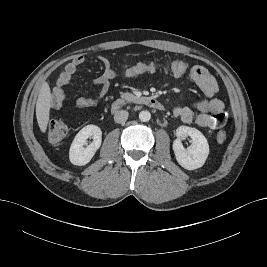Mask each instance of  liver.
<instances>
[{
	"label": "liver",
	"instance_id": "1",
	"mask_svg": "<svg viewBox=\"0 0 267 267\" xmlns=\"http://www.w3.org/2000/svg\"><path fill=\"white\" fill-rule=\"evenodd\" d=\"M52 95L49 84L44 82L41 86L37 103L36 117L40 130L45 133L49 122Z\"/></svg>",
	"mask_w": 267,
	"mask_h": 267
}]
</instances>
